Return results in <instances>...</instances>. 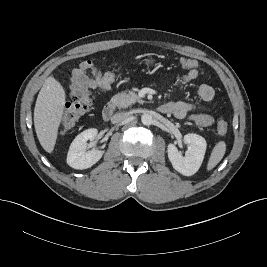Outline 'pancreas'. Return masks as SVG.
I'll list each match as a JSON object with an SVG mask.
<instances>
[{
    "label": "pancreas",
    "mask_w": 267,
    "mask_h": 267,
    "mask_svg": "<svg viewBox=\"0 0 267 267\" xmlns=\"http://www.w3.org/2000/svg\"><path fill=\"white\" fill-rule=\"evenodd\" d=\"M111 102L118 108H127L136 102L143 103V100H141L135 92H121L114 95L111 98Z\"/></svg>",
    "instance_id": "obj_1"
}]
</instances>
